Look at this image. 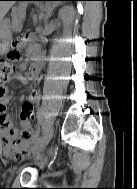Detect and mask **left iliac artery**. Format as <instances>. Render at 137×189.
Masks as SVG:
<instances>
[{"label":"left iliac artery","instance_id":"1","mask_svg":"<svg viewBox=\"0 0 137 189\" xmlns=\"http://www.w3.org/2000/svg\"><path fill=\"white\" fill-rule=\"evenodd\" d=\"M40 133H43L42 128H39L38 133H35V141L39 142L41 140Z\"/></svg>","mask_w":137,"mask_h":189}]
</instances>
